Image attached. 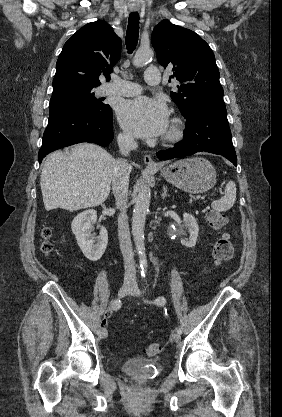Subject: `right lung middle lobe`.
<instances>
[{"label":"right lung middle lobe","instance_id":"obj_1","mask_svg":"<svg viewBox=\"0 0 282 417\" xmlns=\"http://www.w3.org/2000/svg\"><path fill=\"white\" fill-rule=\"evenodd\" d=\"M68 107L104 110L108 108L109 105L103 104L101 99H97L94 96L93 88L76 89L52 94L49 106L50 114Z\"/></svg>","mask_w":282,"mask_h":417}]
</instances>
